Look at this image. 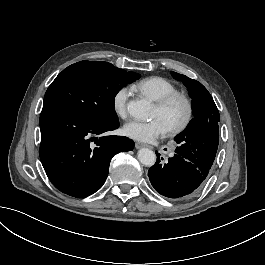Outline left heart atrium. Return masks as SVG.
Wrapping results in <instances>:
<instances>
[{
    "mask_svg": "<svg viewBox=\"0 0 265 265\" xmlns=\"http://www.w3.org/2000/svg\"><path fill=\"white\" fill-rule=\"evenodd\" d=\"M123 132L133 140L150 142L163 135L166 127L159 118L150 121L131 120L124 126Z\"/></svg>",
    "mask_w": 265,
    "mask_h": 265,
    "instance_id": "1",
    "label": "left heart atrium"
}]
</instances>
